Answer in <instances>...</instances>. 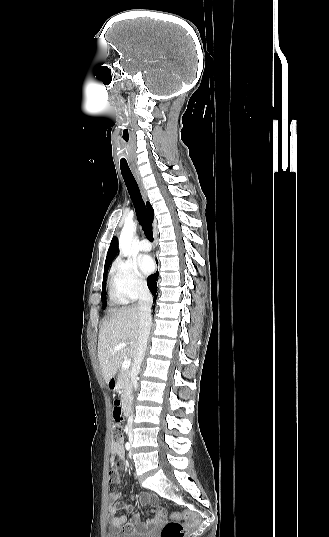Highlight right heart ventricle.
<instances>
[{"label":"right heart ventricle","instance_id":"right-heart-ventricle-1","mask_svg":"<svg viewBox=\"0 0 329 537\" xmlns=\"http://www.w3.org/2000/svg\"><path fill=\"white\" fill-rule=\"evenodd\" d=\"M110 297H111V299H112V301H113L114 303H123V302H124L123 300H121V299L117 296V294L115 293V291L113 290V288L111 287V285H110Z\"/></svg>","mask_w":329,"mask_h":537}]
</instances>
